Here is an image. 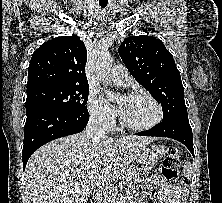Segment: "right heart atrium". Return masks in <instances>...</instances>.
I'll use <instances>...</instances> for the list:
<instances>
[{
	"instance_id": "1",
	"label": "right heart atrium",
	"mask_w": 222,
	"mask_h": 203,
	"mask_svg": "<svg viewBox=\"0 0 222 203\" xmlns=\"http://www.w3.org/2000/svg\"><path fill=\"white\" fill-rule=\"evenodd\" d=\"M90 117L98 124L108 128L116 119L115 111L106 104L96 93H91L88 100Z\"/></svg>"
}]
</instances>
